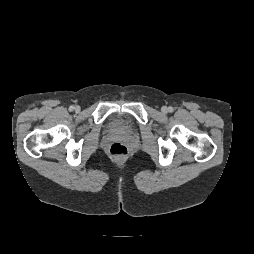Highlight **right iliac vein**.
I'll list each match as a JSON object with an SVG mask.
<instances>
[{"label":"right iliac vein","instance_id":"1","mask_svg":"<svg viewBox=\"0 0 254 254\" xmlns=\"http://www.w3.org/2000/svg\"><path fill=\"white\" fill-rule=\"evenodd\" d=\"M75 111H76V112H79V111H80V107H79V106H76V107H75Z\"/></svg>","mask_w":254,"mask_h":254}]
</instances>
